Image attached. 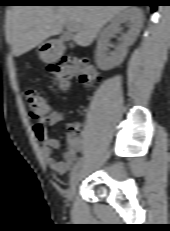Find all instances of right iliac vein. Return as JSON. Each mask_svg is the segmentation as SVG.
<instances>
[{
  "mask_svg": "<svg viewBox=\"0 0 170 231\" xmlns=\"http://www.w3.org/2000/svg\"><path fill=\"white\" fill-rule=\"evenodd\" d=\"M82 180V174L81 172H77L74 174V176L72 177L71 181H70V185H69V189H68V199L70 201L73 200L75 193H76V189L80 183V181Z\"/></svg>",
  "mask_w": 170,
  "mask_h": 231,
  "instance_id": "obj_1",
  "label": "right iliac vein"
}]
</instances>
